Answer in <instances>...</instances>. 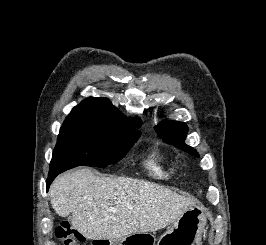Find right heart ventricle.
<instances>
[{
  "label": "right heart ventricle",
  "instance_id": "e07e8e85",
  "mask_svg": "<svg viewBox=\"0 0 266 245\" xmlns=\"http://www.w3.org/2000/svg\"><path fill=\"white\" fill-rule=\"evenodd\" d=\"M143 166L147 174L158 181H169L180 171L177 160L160 149H152L146 156Z\"/></svg>",
  "mask_w": 266,
  "mask_h": 245
}]
</instances>
